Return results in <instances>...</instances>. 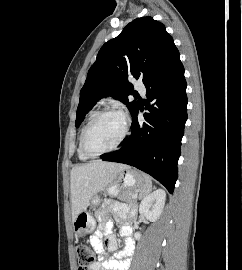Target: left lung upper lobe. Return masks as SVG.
Segmentation results:
<instances>
[{
    "label": "left lung upper lobe",
    "instance_id": "1",
    "mask_svg": "<svg viewBox=\"0 0 242 270\" xmlns=\"http://www.w3.org/2000/svg\"><path fill=\"white\" fill-rule=\"evenodd\" d=\"M178 56L179 51L162 23L152 17L133 20L98 52L80 91L75 126L105 96L122 101L133 115L138 106L136 101H128L133 91L128 77L141 78L145 84Z\"/></svg>",
    "mask_w": 242,
    "mask_h": 270
}]
</instances>
